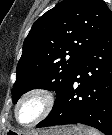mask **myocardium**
<instances>
[{
  "label": "myocardium",
  "mask_w": 112,
  "mask_h": 135,
  "mask_svg": "<svg viewBox=\"0 0 112 135\" xmlns=\"http://www.w3.org/2000/svg\"><path fill=\"white\" fill-rule=\"evenodd\" d=\"M29 97L41 98V100L43 101V109H42V112L40 113V115L35 120H33L30 123L24 124L19 121L17 112H18V108L21 105V103ZM54 105H55V96L51 90L44 88V87H34V88H31V89L25 91L18 98V100L14 106V118H15L16 122L23 127H33V126L39 124L40 122H42L45 118H47L49 116V114L52 112V110L54 108Z\"/></svg>",
  "instance_id": "1"
}]
</instances>
